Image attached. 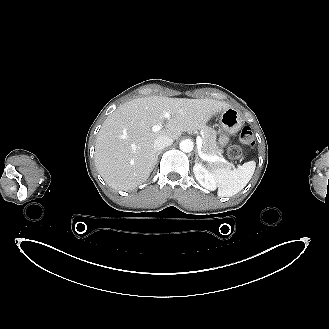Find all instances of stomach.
Instances as JSON below:
<instances>
[{"label": "stomach", "instance_id": "stomach-1", "mask_svg": "<svg viewBox=\"0 0 329 329\" xmlns=\"http://www.w3.org/2000/svg\"><path fill=\"white\" fill-rule=\"evenodd\" d=\"M214 115L218 116L220 125L229 134H234L238 132L243 125V120L240 115V112L233 107L224 109Z\"/></svg>", "mask_w": 329, "mask_h": 329}]
</instances>
